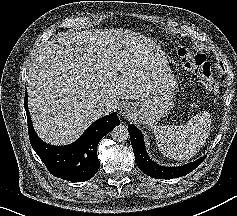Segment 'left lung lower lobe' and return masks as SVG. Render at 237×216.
<instances>
[{"label": "left lung lower lobe", "mask_w": 237, "mask_h": 216, "mask_svg": "<svg viewBox=\"0 0 237 216\" xmlns=\"http://www.w3.org/2000/svg\"><path fill=\"white\" fill-rule=\"evenodd\" d=\"M128 131L131 138V144L135 155V161L141 171L152 178L157 179H172L187 175L192 170L197 168L205 159V156L195 162L178 166V167H163L154 163L148 156L142 133L134 126L129 125Z\"/></svg>", "instance_id": "left-lung-lower-lobe-1"}]
</instances>
